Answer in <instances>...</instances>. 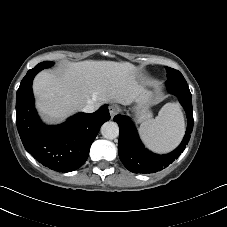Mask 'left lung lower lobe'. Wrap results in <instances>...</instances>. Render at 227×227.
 I'll list each match as a JSON object with an SVG mask.
<instances>
[{
	"mask_svg": "<svg viewBox=\"0 0 227 227\" xmlns=\"http://www.w3.org/2000/svg\"><path fill=\"white\" fill-rule=\"evenodd\" d=\"M166 86L169 93L175 95L185 109L188 126L181 144L171 153L158 155L144 147L139 139L134 124L129 117L116 115L120 128L118 153L124 166L133 173H155L168 167L185 149L193 129L192 97L186 81L167 80Z\"/></svg>",
	"mask_w": 227,
	"mask_h": 227,
	"instance_id": "0a47b994",
	"label": "left lung lower lobe"
}]
</instances>
